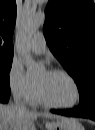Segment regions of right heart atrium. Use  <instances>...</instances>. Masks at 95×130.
<instances>
[{"label": "right heart atrium", "instance_id": "1", "mask_svg": "<svg viewBox=\"0 0 95 130\" xmlns=\"http://www.w3.org/2000/svg\"><path fill=\"white\" fill-rule=\"evenodd\" d=\"M9 89L17 99L28 102L32 99L36 84L25 74L22 67L13 64L9 72Z\"/></svg>", "mask_w": 95, "mask_h": 130}]
</instances>
